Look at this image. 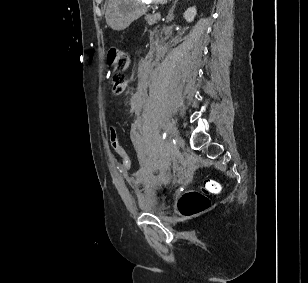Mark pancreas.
Segmentation results:
<instances>
[{
	"label": "pancreas",
	"instance_id": "1",
	"mask_svg": "<svg viewBox=\"0 0 308 283\" xmlns=\"http://www.w3.org/2000/svg\"><path fill=\"white\" fill-rule=\"evenodd\" d=\"M158 19L159 18L157 17L156 14H148L145 16V20L148 22L149 25L156 24Z\"/></svg>",
	"mask_w": 308,
	"mask_h": 283
}]
</instances>
